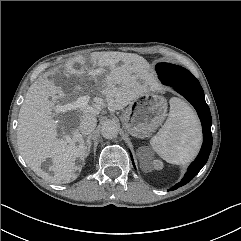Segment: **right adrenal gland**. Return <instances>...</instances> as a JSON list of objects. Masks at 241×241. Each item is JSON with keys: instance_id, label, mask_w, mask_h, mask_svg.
<instances>
[{"instance_id": "obj_1", "label": "right adrenal gland", "mask_w": 241, "mask_h": 241, "mask_svg": "<svg viewBox=\"0 0 241 241\" xmlns=\"http://www.w3.org/2000/svg\"><path fill=\"white\" fill-rule=\"evenodd\" d=\"M91 135L86 137V141H85V147H86V154L89 155L90 153V149H91Z\"/></svg>"}]
</instances>
